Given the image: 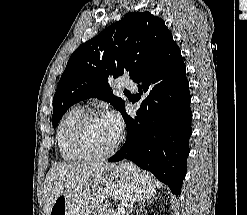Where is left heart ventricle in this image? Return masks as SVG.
Returning a JSON list of instances; mask_svg holds the SVG:
<instances>
[{
  "instance_id": "1",
  "label": "left heart ventricle",
  "mask_w": 247,
  "mask_h": 215,
  "mask_svg": "<svg viewBox=\"0 0 247 215\" xmlns=\"http://www.w3.org/2000/svg\"><path fill=\"white\" fill-rule=\"evenodd\" d=\"M85 142L93 152H104L112 146L117 136L103 118L89 122L84 130Z\"/></svg>"
}]
</instances>
